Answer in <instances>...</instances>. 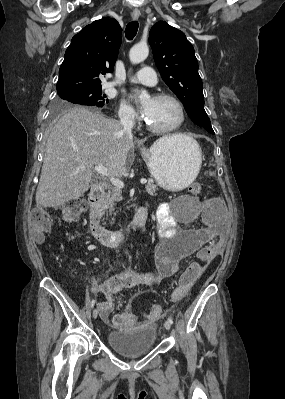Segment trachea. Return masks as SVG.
Listing matches in <instances>:
<instances>
[{"label": "trachea", "mask_w": 285, "mask_h": 399, "mask_svg": "<svg viewBox=\"0 0 285 399\" xmlns=\"http://www.w3.org/2000/svg\"><path fill=\"white\" fill-rule=\"evenodd\" d=\"M139 24L136 21L127 24L125 29V36L128 40H132L138 31Z\"/></svg>", "instance_id": "3493384b"}]
</instances>
